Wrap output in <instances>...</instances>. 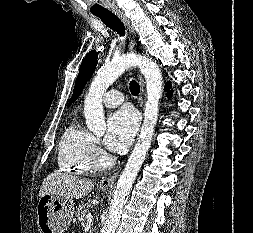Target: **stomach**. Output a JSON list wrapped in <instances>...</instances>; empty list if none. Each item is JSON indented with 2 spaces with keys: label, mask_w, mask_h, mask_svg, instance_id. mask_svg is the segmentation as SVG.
I'll use <instances>...</instances> for the list:
<instances>
[{
  "label": "stomach",
  "mask_w": 253,
  "mask_h": 233,
  "mask_svg": "<svg viewBox=\"0 0 253 233\" xmlns=\"http://www.w3.org/2000/svg\"><path fill=\"white\" fill-rule=\"evenodd\" d=\"M74 213L73 201L55 194L40 197L37 206V224L40 233H63Z\"/></svg>",
  "instance_id": "obj_1"
}]
</instances>
